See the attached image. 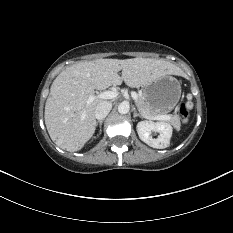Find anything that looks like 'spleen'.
<instances>
[{
    "label": "spleen",
    "instance_id": "obj_1",
    "mask_svg": "<svg viewBox=\"0 0 233 233\" xmlns=\"http://www.w3.org/2000/svg\"><path fill=\"white\" fill-rule=\"evenodd\" d=\"M187 109H192L193 108V103L191 101H188L186 104Z\"/></svg>",
    "mask_w": 233,
    "mask_h": 233
}]
</instances>
